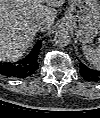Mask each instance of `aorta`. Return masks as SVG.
I'll return each mask as SVG.
<instances>
[{"instance_id":"aorta-1","label":"aorta","mask_w":100,"mask_h":118,"mask_svg":"<svg viewBox=\"0 0 100 118\" xmlns=\"http://www.w3.org/2000/svg\"><path fill=\"white\" fill-rule=\"evenodd\" d=\"M71 41V36L66 30H59L54 35V43L59 47L67 46Z\"/></svg>"}]
</instances>
